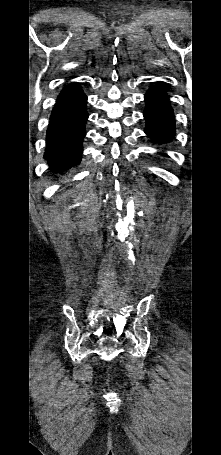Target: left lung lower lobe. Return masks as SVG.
Returning a JSON list of instances; mask_svg holds the SVG:
<instances>
[{
    "instance_id": "left-lung-lower-lobe-1",
    "label": "left lung lower lobe",
    "mask_w": 221,
    "mask_h": 455,
    "mask_svg": "<svg viewBox=\"0 0 221 455\" xmlns=\"http://www.w3.org/2000/svg\"><path fill=\"white\" fill-rule=\"evenodd\" d=\"M145 133L155 142L166 143L175 134V120L169 97L163 85H155L145 94Z\"/></svg>"
}]
</instances>
